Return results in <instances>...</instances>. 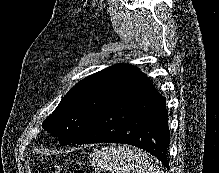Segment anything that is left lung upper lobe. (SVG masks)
Returning a JSON list of instances; mask_svg holds the SVG:
<instances>
[{
    "instance_id": "1",
    "label": "left lung upper lobe",
    "mask_w": 219,
    "mask_h": 173,
    "mask_svg": "<svg viewBox=\"0 0 219 173\" xmlns=\"http://www.w3.org/2000/svg\"><path fill=\"white\" fill-rule=\"evenodd\" d=\"M134 66L118 64L103 69L77 83L43 122L61 145L73 143L98 112L140 74Z\"/></svg>"
}]
</instances>
